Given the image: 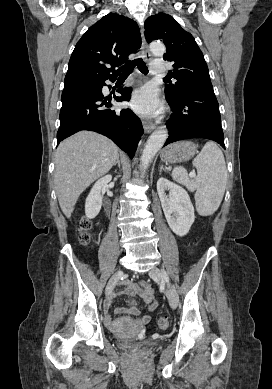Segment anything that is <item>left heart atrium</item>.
Listing matches in <instances>:
<instances>
[{
    "instance_id": "left-heart-atrium-1",
    "label": "left heart atrium",
    "mask_w": 272,
    "mask_h": 389,
    "mask_svg": "<svg viewBox=\"0 0 272 389\" xmlns=\"http://www.w3.org/2000/svg\"><path fill=\"white\" fill-rule=\"evenodd\" d=\"M131 106L135 111L144 115H154L160 109L156 92L149 86L142 87L133 94Z\"/></svg>"
}]
</instances>
